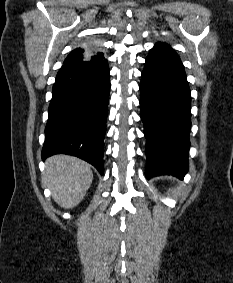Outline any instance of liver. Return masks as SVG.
Segmentation results:
<instances>
[{"label":"liver","mask_w":233,"mask_h":283,"mask_svg":"<svg viewBox=\"0 0 233 283\" xmlns=\"http://www.w3.org/2000/svg\"><path fill=\"white\" fill-rule=\"evenodd\" d=\"M93 181L91 166L76 157L54 155L45 161L43 182L54 201L65 209L77 206Z\"/></svg>","instance_id":"6515ba94"}]
</instances>
